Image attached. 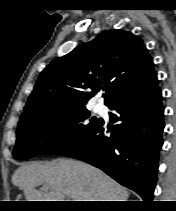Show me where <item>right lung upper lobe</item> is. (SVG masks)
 Masks as SVG:
<instances>
[{"instance_id": "1", "label": "right lung upper lobe", "mask_w": 176, "mask_h": 211, "mask_svg": "<svg viewBox=\"0 0 176 211\" xmlns=\"http://www.w3.org/2000/svg\"><path fill=\"white\" fill-rule=\"evenodd\" d=\"M154 64L140 38L124 30H108L41 72L20 119L51 109L85 106L106 90L109 108L132 100L156 83Z\"/></svg>"}]
</instances>
